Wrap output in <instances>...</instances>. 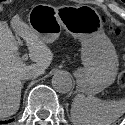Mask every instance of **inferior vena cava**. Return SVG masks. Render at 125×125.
Instances as JSON below:
<instances>
[{"label": "inferior vena cava", "mask_w": 125, "mask_h": 125, "mask_svg": "<svg viewBox=\"0 0 125 125\" xmlns=\"http://www.w3.org/2000/svg\"><path fill=\"white\" fill-rule=\"evenodd\" d=\"M38 76L37 72H28L22 76V80L36 79Z\"/></svg>", "instance_id": "1"}]
</instances>
